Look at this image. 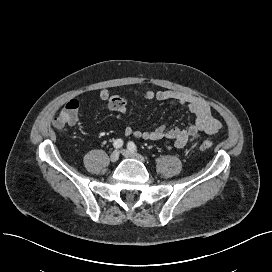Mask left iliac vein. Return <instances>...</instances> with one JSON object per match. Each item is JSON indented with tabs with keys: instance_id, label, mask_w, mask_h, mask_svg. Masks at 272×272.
I'll return each mask as SVG.
<instances>
[{
	"instance_id": "1",
	"label": "left iliac vein",
	"mask_w": 272,
	"mask_h": 272,
	"mask_svg": "<svg viewBox=\"0 0 272 272\" xmlns=\"http://www.w3.org/2000/svg\"><path fill=\"white\" fill-rule=\"evenodd\" d=\"M121 153L126 158H134V159H137V160H139L141 162H145V159L141 155H139L137 153H134V152H132L130 150L123 149V150H121Z\"/></svg>"
}]
</instances>
